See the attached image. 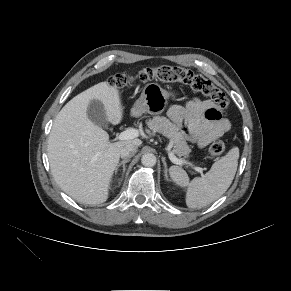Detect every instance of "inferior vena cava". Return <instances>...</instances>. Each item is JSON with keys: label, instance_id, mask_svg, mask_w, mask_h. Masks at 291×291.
<instances>
[{"label": "inferior vena cava", "instance_id": "inferior-vena-cava-1", "mask_svg": "<svg viewBox=\"0 0 291 291\" xmlns=\"http://www.w3.org/2000/svg\"><path fill=\"white\" fill-rule=\"evenodd\" d=\"M138 147L134 144H128L120 151V156L123 159H129L137 152Z\"/></svg>", "mask_w": 291, "mask_h": 291}]
</instances>
